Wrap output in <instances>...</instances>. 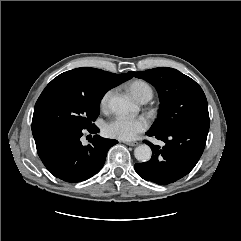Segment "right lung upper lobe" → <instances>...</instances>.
<instances>
[{
    "instance_id": "obj_1",
    "label": "right lung upper lobe",
    "mask_w": 241,
    "mask_h": 241,
    "mask_svg": "<svg viewBox=\"0 0 241 241\" xmlns=\"http://www.w3.org/2000/svg\"><path fill=\"white\" fill-rule=\"evenodd\" d=\"M132 78L129 74H114L100 69L82 67L64 72L46 88L65 87L83 94L106 93L109 89Z\"/></svg>"
}]
</instances>
